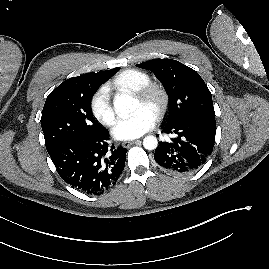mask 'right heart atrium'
Instances as JSON below:
<instances>
[{"label": "right heart atrium", "instance_id": "1", "mask_svg": "<svg viewBox=\"0 0 269 269\" xmlns=\"http://www.w3.org/2000/svg\"><path fill=\"white\" fill-rule=\"evenodd\" d=\"M91 111L95 118L106 126H113L116 120L115 110L110 101L109 89L106 85L100 86L92 95Z\"/></svg>", "mask_w": 269, "mask_h": 269}]
</instances>
